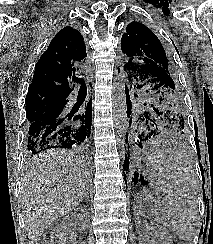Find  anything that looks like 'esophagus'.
I'll return each instance as SVG.
<instances>
[{"instance_id":"obj_1","label":"esophagus","mask_w":213,"mask_h":244,"mask_svg":"<svg viewBox=\"0 0 213 244\" xmlns=\"http://www.w3.org/2000/svg\"><path fill=\"white\" fill-rule=\"evenodd\" d=\"M87 83L90 87L91 84H93V73L92 70H88L87 72Z\"/></svg>"}]
</instances>
